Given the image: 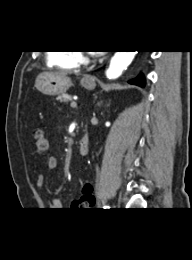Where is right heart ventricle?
I'll return each mask as SVG.
<instances>
[{
    "label": "right heart ventricle",
    "instance_id": "e07e8e85",
    "mask_svg": "<svg viewBox=\"0 0 192 260\" xmlns=\"http://www.w3.org/2000/svg\"><path fill=\"white\" fill-rule=\"evenodd\" d=\"M47 61L50 66L71 70L79 66L80 56L76 51H54L48 54Z\"/></svg>",
    "mask_w": 192,
    "mask_h": 260
}]
</instances>
